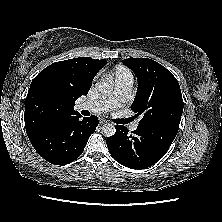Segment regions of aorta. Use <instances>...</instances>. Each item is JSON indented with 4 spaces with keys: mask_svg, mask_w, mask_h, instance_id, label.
<instances>
[{
    "mask_svg": "<svg viewBox=\"0 0 222 222\" xmlns=\"http://www.w3.org/2000/svg\"><path fill=\"white\" fill-rule=\"evenodd\" d=\"M96 89L100 92L102 95H108L112 92L113 86L111 83L107 81H100L95 84ZM116 128L114 124L112 123H106L102 127V134L105 137H111L115 134Z\"/></svg>",
    "mask_w": 222,
    "mask_h": 222,
    "instance_id": "762f6f07",
    "label": "aorta"
}]
</instances>
